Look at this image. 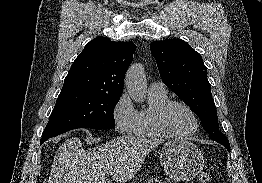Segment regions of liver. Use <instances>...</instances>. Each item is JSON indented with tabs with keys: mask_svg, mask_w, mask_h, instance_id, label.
I'll return each mask as SVG.
<instances>
[{
	"mask_svg": "<svg viewBox=\"0 0 262 183\" xmlns=\"http://www.w3.org/2000/svg\"><path fill=\"white\" fill-rule=\"evenodd\" d=\"M162 140L116 137L101 146L84 150L79 138L66 140L57 150L48 183H119L131 180L140 170L147 154Z\"/></svg>",
	"mask_w": 262,
	"mask_h": 183,
	"instance_id": "6515ba94",
	"label": "liver"
}]
</instances>
